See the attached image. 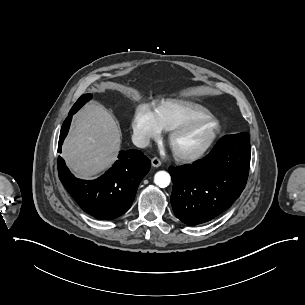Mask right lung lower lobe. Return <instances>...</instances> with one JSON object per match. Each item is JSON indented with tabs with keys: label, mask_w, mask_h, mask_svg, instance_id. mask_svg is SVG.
<instances>
[{
	"label": "right lung lower lobe",
	"mask_w": 305,
	"mask_h": 305,
	"mask_svg": "<svg viewBox=\"0 0 305 305\" xmlns=\"http://www.w3.org/2000/svg\"><path fill=\"white\" fill-rule=\"evenodd\" d=\"M78 110V106L74 105L62 125L58 152H61L72 115ZM150 166V160L141 151H121L118 160L104 175L87 181L75 178L62 158L58 157V174L66 190L85 212L105 220L115 219L127 212Z\"/></svg>",
	"instance_id": "1"
}]
</instances>
